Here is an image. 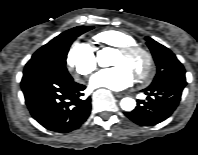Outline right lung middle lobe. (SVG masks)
<instances>
[{
  "label": "right lung middle lobe",
  "mask_w": 198,
  "mask_h": 155,
  "mask_svg": "<svg viewBox=\"0 0 198 155\" xmlns=\"http://www.w3.org/2000/svg\"><path fill=\"white\" fill-rule=\"evenodd\" d=\"M92 28V26H78L55 37L33 54L25 65L23 74L46 73L62 79H72L66 69L69 47L79 35Z\"/></svg>",
  "instance_id": "obj_1"
}]
</instances>
